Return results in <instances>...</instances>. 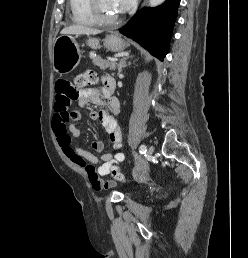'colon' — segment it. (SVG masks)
Here are the masks:
<instances>
[{"mask_svg": "<svg viewBox=\"0 0 248 258\" xmlns=\"http://www.w3.org/2000/svg\"><path fill=\"white\" fill-rule=\"evenodd\" d=\"M97 75L93 71H85L76 75L74 79V87L72 89V97L75 99L79 92L89 85L95 84ZM112 176L117 181H125V176L120 172L117 167L112 169Z\"/></svg>", "mask_w": 248, "mask_h": 258, "instance_id": "1", "label": "colon"}]
</instances>
